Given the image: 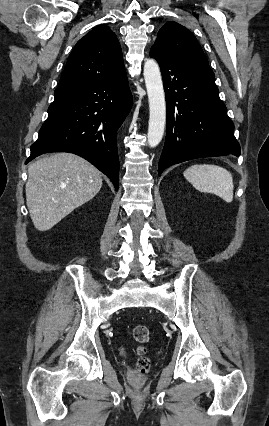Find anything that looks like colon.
Instances as JSON below:
<instances>
[{
  "label": "colon",
  "instance_id": "5ec220e1",
  "mask_svg": "<svg viewBox=\"0 0 269 426\" xmlns=\"http://www.w3.org/2000/svg\"><path fill=\"white\" fill-rule=\"evenodd\" d=\"M132 337L134 341L139 344V358L136 365L137 372L139 375H143L149 369V360L145 356L146 348L144 347V345L147 344L150 339V332L148 327L143 324L135 325L132 329Z\"/></svg>",
  "mask_w": 269,
  "mask_h": 426
}]
</instances>
